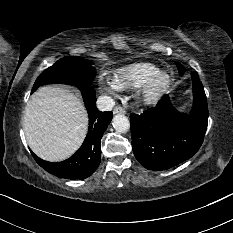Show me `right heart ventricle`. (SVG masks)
<instances>
[{"label": "right heart ventricle", "mask_w": 233, "mask_h": 233, "mask_svg": "<svg viewBox=\"0 0 233 233\" xmlns=\"http://www.w3.org/2000/svg\"><path fill=\"white\" fill-rule=\"evenodd\" d=\"M158 70L151 63H136L121 68L115 75V83L121 90H135L143 86Z\"/></svg>", "instance_id": "e07e8e85"}]
</instances>
